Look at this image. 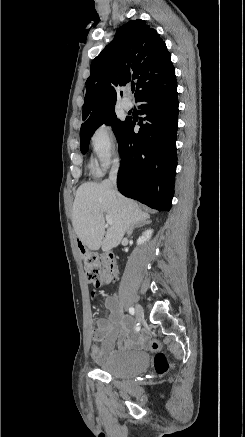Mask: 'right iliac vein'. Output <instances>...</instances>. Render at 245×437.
I'll return each instance as SVG.
<instances>
[{"mask_svg":"<svg viewBox=\"0 0 245 437\" xmlns=\"http://www.w3.org/2000/svg\"><path fill=\"white\" fill-rule=\"evenodd\" d=\"M136 317L139 321L144 319V310L141 305L137 304L135 307Z\"/></svg>","mask_w":245,"mask_h":437,"instance_id":"obj_1","label":"right iliac vein"}]
</instances>
